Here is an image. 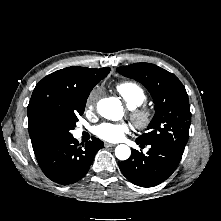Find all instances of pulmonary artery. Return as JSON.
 <instances>
[{"mask_svg":"<svg viewBox=\"0 0 221 221\" xmlns=\"http://www.w3.org/2000/svg\"><path fill=\"white\" fill-rule=\"evenodd\" d=\"M81 132H82V130H81V129H78V130L76 131L77 135H80V134H81Z\"/></svg>","mask_w":221,"mask_h":221,"instance_id":"e3ab8cb5","label":"pulmonary artery"}]
</instances>
